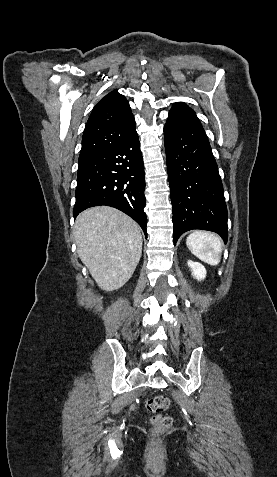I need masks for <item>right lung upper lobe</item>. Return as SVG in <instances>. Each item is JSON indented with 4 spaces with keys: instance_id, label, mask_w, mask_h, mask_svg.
I'll return each mask as SVG.
<instances>
[{
    "instance_id": "1",
    "label": "right lung upper lobe",
    "mask_w": 277,
    "mask_h": 477,
    "mask_svg": "<svg viewBox=\"0 0 277 477\" xmlns=\"http://www.w3.org/2000/svg\"><path fill=\"white\" fill-rule=\"evenodd\" d=\"M135 130V119L126 98L117 90L108 93L87 121L78 162L109 150Z\"/></svg>"
}]
</instances>
